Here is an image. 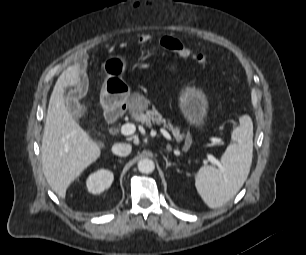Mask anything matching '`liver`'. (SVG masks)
<instances>
[{"label": "liver", "instance_id": "obj_1", "mask_svg": "<svg viewBox=\"0 0 306 255\" xmlns=\"http://www.w3.org/2000/svg\"><path fill=\"white\" fill-rule=\"evenodd\" d=\"M80 81L75 63L59 76L51 94L41 147L42 169L51 189L65 198L70 184L101 155V148L68 112L64 88Z\"/></svg>", "mask_w": 306, "mask_h": 255}]
</instances>
